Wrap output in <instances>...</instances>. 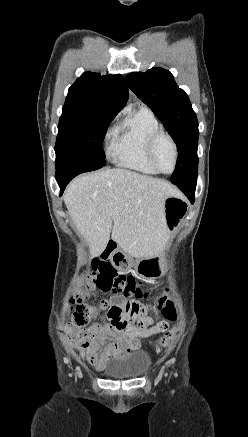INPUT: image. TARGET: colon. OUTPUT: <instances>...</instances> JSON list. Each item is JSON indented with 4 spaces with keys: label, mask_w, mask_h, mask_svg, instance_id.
<instances>
[{
    "label": "colon",
    "mask_w": 248,
    "mask_h": 437,
    "mask_svg": "<svg viewBox=\"0 0 248 437\" xmlns=\"http://www.w3.org/2000/svg\"><path fill=\"white\" fill-rule=\"evenodd\" d=\"M96 285L103 291H111L115 294H127L128 296L143 297L147 296L141 289L140 283L134 276L117 272L116 268L109 262L93 261L90 266L88 281L85 284L77 286L70 298V304L73 309V321L78 326L87 324L95 307L89 305L88 290L90 286ZM166 297H162L160 302L163 303ZM106 303L102 301L100 307H105ZM164 316L167 320H174L176 317L175 309L168 304L164 308ZM164 330L167 329V322L161 323ZM173 333L167 331L165 336L157 343L158 346H165L173 339Z\"/></svg>",
    "instance_id": "obj_1"
}]
</instances>
